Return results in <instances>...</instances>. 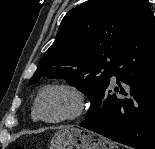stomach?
Listing matches in <instances>:
<instances>
[{"mask_svg":"<svg viewBox=\"0 0 155 149\" xmlns=\"http://www.w3.org/2000/svg\"><path fill=\"white\" fill-rule=\"evenodd\" d=\"M50 149H118V147L109 139L87 129L62 127L54 134Z\"/></svg>","mask_w":155,"mask_h":149,"instance_id":"obj_1","label":"stomach"}]
</instances>
